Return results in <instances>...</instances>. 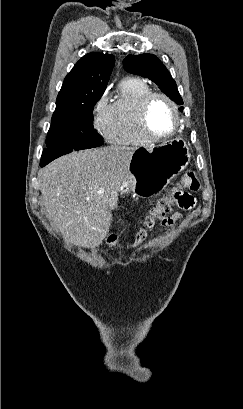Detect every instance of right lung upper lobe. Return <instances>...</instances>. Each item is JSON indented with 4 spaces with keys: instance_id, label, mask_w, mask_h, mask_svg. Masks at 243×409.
<instances>
[{
    "instance_id": "right-lung-upper-lobe-1",
    "label": "right lung upper lobe",
    "mask_w": 243,
    "mask_h": 409,
    "mask_svg": "<svg viewBox=\"0 0 243 409\" xmlns=\"http://www.w3.org/2000/svg\"><path fill=\"white\" fill-rule=\"evenodd\" d=\"M115 57L111 54L89 53L82 57L65 77L56 104H89L103 95Z\"/></svg>"
}]
</instances>
